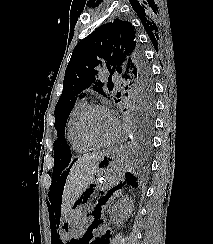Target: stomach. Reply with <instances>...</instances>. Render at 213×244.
Listing matches in <instances>:
<instances>
[{"instance_id": "obj_1", "label": "stomach", "mask_w": 213, "mask_h": 244, "mask_svg": "<svg viewBox=\"0 0 213 244\" xmlns=\"http://www.w3.org/2000/svg\"><path fill=\"white\" fill-rule=\"evenodd\" d=\"M123 173L124 166L113 153H107L101 159L93 176L92 183L84 190L77 201L73 203L66 217L61 222L60 233L63 237H71L82 231L85 218V213L81 206L83 198L95 194L102 187L115 186L121 180Z\"/></svg>"}]
</instances>
